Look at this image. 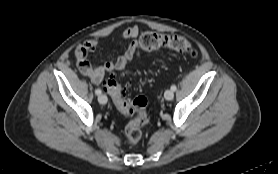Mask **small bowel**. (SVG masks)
Returning a JSON list of instances; mask_svg holds the SVG:
<instances>
[{
    "label": "small bowel",
    "instance_id": "obj_1",
    "mask_svg": "<svg viewBox=\"0 0 278 174\" xmlns=\"http://www.w3.org/2000/svg\"><path fill=\"white\" fill-rule=\"evenodd\" d=\"M139 35V28L131 26L122 32V38L128 41V46L123 55L114 61H107L103 65L92 66L87 60V55L94 52L98 46L96 39H89L82 45L75 49V58L77 61L78 69L84 76L88 77L95 85H99L104 78L105 72L122 71L132 58L137 55L141 56V46L137 37Z\"/></svg>",
    "mask_w": 278,
    "mask_h": 174
}]
</instances>
